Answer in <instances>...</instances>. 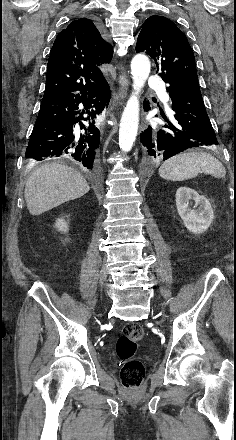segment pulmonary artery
<instances>
[{
	"instance_id": "e3ab8cb5",
	"label": "pulmonary artery",
	"mask_w": 236,
	"mask_h": 440,
	"mask_svg": "<svg viewBox=\"0 0 236 440\" xmlns=\"http://www.w3.org/2000/svg\"><path fill=\"white\" fill-rule=\"evenodd\" d=\"M148 85L151 89H155V90L160 91L163 95V97H162L163 101L166 103L168 102L169 97H168L167 93L165 92L163 80H161L160 78H157V77H152L149 79Z\"/></svg>"
}]
</instances>
